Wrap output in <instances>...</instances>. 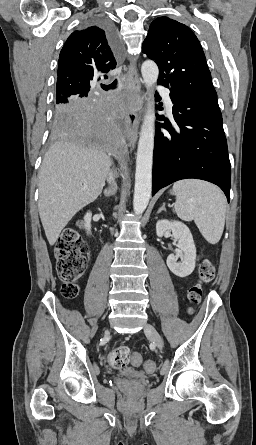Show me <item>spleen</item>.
<instances>
[{"label": "spleen", "instance_id": "3e777b00", "mask_svg": "<svg viewBox=\"0 0 256 445\" xmlns=\"http://www.w3.org/2000/svg\"><path fill=\"white\" fill-rule=\"evenodd\" d=\"M173 192L177 215L185 221L194 220L210 244L218 243L224 230L227 208L223 192L213 184L194 179L175 182Z\"/></svg>", "mask_w": 256, "mask_h": 445}]
</instances>
